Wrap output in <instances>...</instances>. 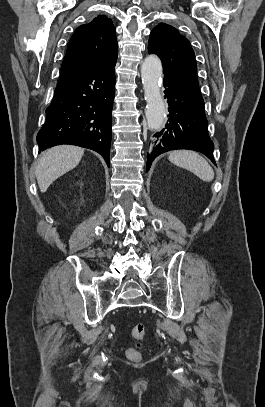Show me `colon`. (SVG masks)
<instances>
[{"mask_svg": "<svg viewBox=\"0 0 265 407\" xmlns=\"http://www.w3.org/2000/svg\"><path fill=\"white\" fill-rule=\"evenodd\" d=\"M131 335L136 343L126 350V356L132 361H138L142 356V341L146 336V325L142 322L136 323L131 329Z\"/></svg>", "mask_w": 265, "mask_h": 407, "instance_id": "obj_1", "label": "colon"}]
</instances>
